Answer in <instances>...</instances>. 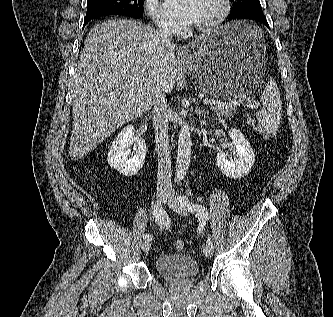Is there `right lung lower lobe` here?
<instances>
[{
  "mask_svg": "<svg viewBox=\"0 0 333 317\" xmlns=\"http://www.w3.org/2000/svg\"><path fill=\"white\" fill-rule=\"evenodd\" d=\"M93 18H95V17H86L84 20V25Z\"/></svg>",
  "mask_w": 333,
  "mask_h": 317,
  "instance_id": "98d812e1",
  "label": "right lung lower lobe"
}]
</instances>
